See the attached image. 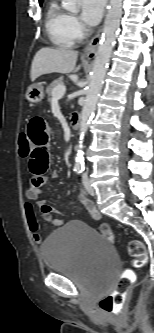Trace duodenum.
<instances>
[{
  "mask_svg": "<svg viewBox=\"0 0 154 333\" xmlns=\"http://www.w3.org/2000/svg\"><path fill=\"white\" fill-rule=\"evenodd\" d=\"M70 125L74 130H78L81 125V114L78 111H74L70 117Z\"/></svg>",
  "mask_w": 154,
  "mask_h": 333,
  "instance_id": "obj_1",
  "label": "duodenum"
}]
</instances>
